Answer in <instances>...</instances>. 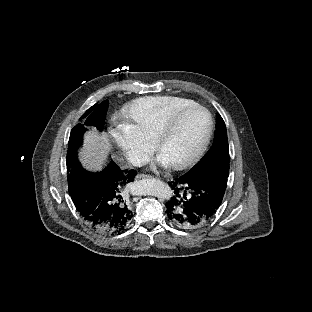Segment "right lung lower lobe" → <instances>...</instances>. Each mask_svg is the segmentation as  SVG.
Masks as SVG:
<instances>
[{"label": "right lung lower lobe", "mask_w": 312, "mask_h": 312, "mask_svg": "<svg viewBox=\"0 0 312 312\" xmlns=\"http://www.w3.org/2000/svg\"><path fill=\"white\" fill-rule=\"evenodd\" d=\"M68 190L82 219L94 230L113 235L125 231L133 217L126 187L135 170L122 171L113 161L92 173L76 164L69 170Z\"/></svg>", "instance_id": "1"}]
</instances>
